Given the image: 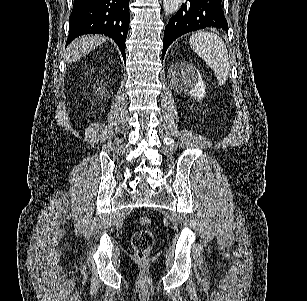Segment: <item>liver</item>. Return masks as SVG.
Segmentation results:
<instances>
[{"mask_svg":"<svg viewBox=\"0 0 307 301\" xmlns=\"http://www.w3.org/2000/svg\"><path fill=\"white\" fill-rule=\"evenodd\" d=\"M107 38L108 36H102V34H83V36L75 38L66 48L65 60L76 62V60L94 50L96 46L106 42Z\"/></svg>","mask_w":307,"mask_h":301,"instance_id":"6515ba94","label":"liver"}]
</instances>
